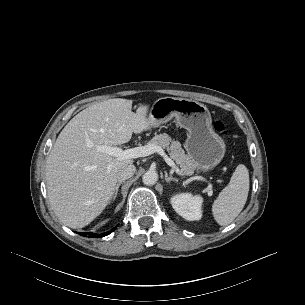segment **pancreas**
I'll use <instances>...</instances> for the list:
<instances>
[{"mask_svg": "<svg viewBox=\"0 0 305 305\" xmlns=\"http://www.w3.org/2000/svg\"><path fill=\"white\" fill-rule=\"evenodd\" d=\"M149 144L166 149L170 157L179 165L183 175H192L194 173L196 164L189 155L185 154L180 142L172 140L168 134L155 135Z\"/></svg>", "mask_w": 305, "mask_h": 305, "instance_id": "1", "label": "pancreas"}]
</instances>
